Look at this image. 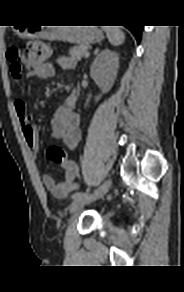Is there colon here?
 I'll return each instance as SVG.
<instances>
[{
  "label": "colon",
  "mask_w": 184,
  "mask_h": 292,
  "mask_svg": "<svg viewBox=\"0 0 184 292\" xmlns=\"http://www.w3.org/2000/svg\"><path fill=\"white\" fill-rule=\"evenodd\" d=\"M50 56V49L41 42H31L26 47H11L7 51L12 76L21 78L25 73L45 63ZM47 157L56 164L63 165L69 161L67 152L60 146L53 145L47 150Z\"/></svg>",
  "instance_id": "1"
}]
</instances>
